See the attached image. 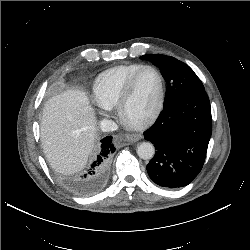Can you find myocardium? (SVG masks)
Returning a JSON list of instances; mask_svg holds the SVG:
<instances>
[{"label":"myocardium","mask_w":250,"mask_h":250,"mask_svg":"<svg viewBox=\"0 0 250 250\" xmlns=\"http://www.w3.org/2000/svg\"><path fill=\"white\" fill-rule=\"evenodd\" d=\"M146 70H151L157 75V78L159 81L158 95L153 106L144 116H142L139 119L132 120V119H129L126 115V111H125L126 105L131 97L134 85L138 77L141 75L142 72ZM164 97H165V83H164V79L160 71L157 68L150 66V65L143 66L128 80L127 84L125 85L116 105L118 115L120 119L128 126L132 128H136V129L143 128L149 125L150 123H152L157 118V116L159 115L163 107Z\"/></svg>","instance_id":"f54148a6"}]
</instances>
